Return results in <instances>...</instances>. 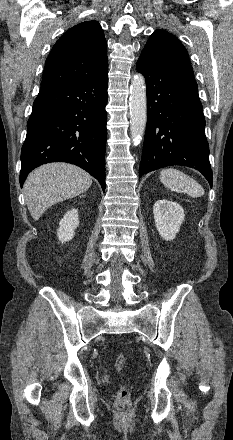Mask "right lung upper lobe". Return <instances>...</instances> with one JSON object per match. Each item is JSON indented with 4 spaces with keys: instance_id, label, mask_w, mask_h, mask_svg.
Listing matches in <instances>:
<instances>
[{
    "instance_id": "right-lung-upper-lobe-1",
    "label": "right lung upper lobe",
    "mask_w": 233,
    "mask_h": 440,
    "mask_svg": "<svg viewBox=\"0 0 233 440\" xmlns=\"http://www.w3.org/2000/svg\"><path fill=\"white\" fill-rule=\"evenodd\" d=\"M108 67L107 43L98 22L69 29L46 59L41 90L71 86L99 77Z\"/></svg>"
}]
</instances>
